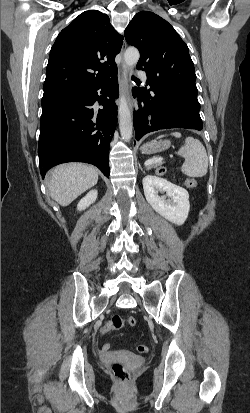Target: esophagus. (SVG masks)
<instances>
[{
	"instance_id": "34e87169",
	"label": "esophagus",
	"mask_w": 250,
	"mask_h": 413,
	"mask_svg": "<svg viewBox=\"0 0 250 413\" xmlns=\"http://www.w3.org/2000/svg\"><path fill=\"white\" fill-rule=\"evenodd\" d=\"M126 46H127V44H126V41L124 40L123 45H122V48H121V55H122V56H123V53H124V51H125V49H126ZM129 78H130L129 70L127 69L125 63H124L123 60H122V61L119 63V65H118V80H119V83L126 82V81L129 80ZM127 99H128V103H129L130 109H131V110L136 109V108H137V104H136V103L134 102V100L131 98L130 92H129V88H127Z\"/></svg>"
}]
</instances>
